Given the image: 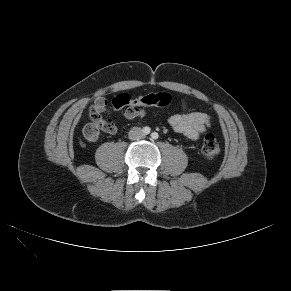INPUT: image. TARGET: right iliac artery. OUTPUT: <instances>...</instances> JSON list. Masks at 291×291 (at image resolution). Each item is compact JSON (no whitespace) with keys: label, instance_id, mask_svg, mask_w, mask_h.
Wrapping results in <instances>:
<instances>
[{"label":"right iliac artery","instance_id":"obj_1","mask_svg":"<svg viewBox=\"0 0 291 291\" xmlns=\"http://www.w3.org/2000/svg\"><path fill=\"white\" fill-rule=\"evenodd\" d=\"M150 131H151V129L148 126H146V127L143 128V133L146 134V135L149 134Z\"/></svg>","mask_w":291,"mask_h":291}]
</instances>
